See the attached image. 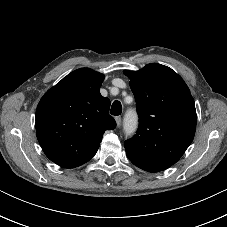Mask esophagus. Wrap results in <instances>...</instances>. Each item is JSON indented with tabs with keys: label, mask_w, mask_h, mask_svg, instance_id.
<instances>
[{
	"label": "esophagus",
	"mask_w": 227,
	"mask_h": 227,
	"mask_svg": "<svg viewBox=\"0 0 227 227\" xmlns=\"http://www.w3.org/2000/svg\"><path fill=\"white\" fill-rule=\"evenodd\" d=\"M115 121H116L117 127H119L121 125L122 118L120 116H117L115 117Z\"/></svg>",
	"instance_id": "1"
}]
</instances>
